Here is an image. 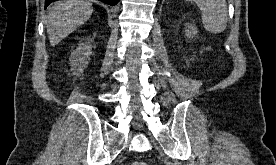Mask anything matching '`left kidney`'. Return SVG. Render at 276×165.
<instances>
[{
    "label": "left kidney",
    "mask_w": 276,
    "mask_h": 165,
    "mask_svg": "<svg viewBox=\"0 0 276 165\" xmlns=\"http://www.w3.org/2000/svg\"><path fill=\"white\" fill-rule=\"evenodd\" d=\"M185 26H186V29H185L186 36L189 39H192L194 35L198 33L197 27L189 23H187Z\"/></svg>",
    "instance_id": "5707ae66"
}]
</instances>
